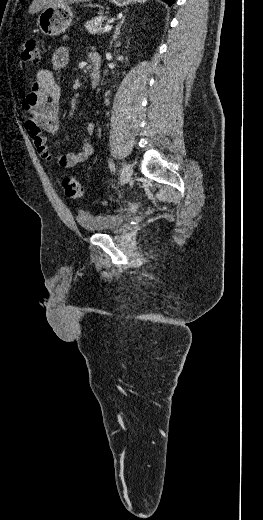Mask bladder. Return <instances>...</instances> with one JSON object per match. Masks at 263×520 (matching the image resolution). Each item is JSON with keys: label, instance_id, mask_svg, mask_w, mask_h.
<instances>
[{"label": "bladder", "instance_id": "31cf9c89", "mask_svg": "<svg viewBox=\"0 0 263 520\" xmlns=\"http://www.w3.org/2000/svg\"><path fill=\"white\" fill-rule=\"evenodd\" d=\"M126 217L122 214H92L82 212L77 215L79 226L88 232H106L119 229Z\"/></svg>", "mask_w": 263, "mask_h": 520}]
</instances>
